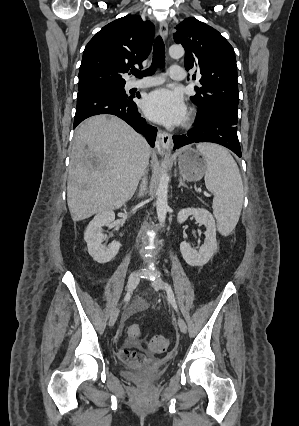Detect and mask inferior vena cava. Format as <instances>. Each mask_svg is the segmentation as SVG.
I'll return each instance as SVG.
<instances>
[{
	"label": "inferior vena cava",
	"instance_id": "1",
	"mask_svg": "<svg viewBox=\"0 0 299 426\" xmlns=\"http://www.w3.org/2000/svg\"><path fill=\"white\" fill-rule=\"evenodd\" d=\"M146 185H147V180H146V178L144 177V178H143V181H142V184H141L140 196H142V195H143V193H144V191L146 190Z\"/></svg>",
	"mask_w": 299,
	"mask_h": 426
}]
</instances>
